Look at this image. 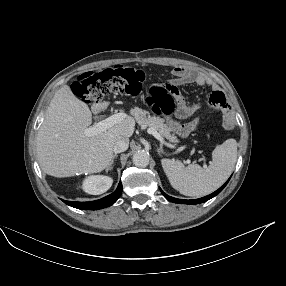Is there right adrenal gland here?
I'll return each instance as SVG.
<instances>
[{
  "mask_svg": "<svg viewBox=\"0 0 286 286\" xmlns=\"http://www.w3.org/2000/svg\"><path fill=\"white\" fill-rule=\"evenodd\" d=\"M117 154L113 155L112 161L110 163V165L106 168V172H108L109 170H111L113 168V164H114V159L117 158Z\"/></svg>",
  "mask_w": 286,
  "mask_h": 286,
  "instance_id": "1",
  "label": "right adrenal gland"
}]
</instances>
